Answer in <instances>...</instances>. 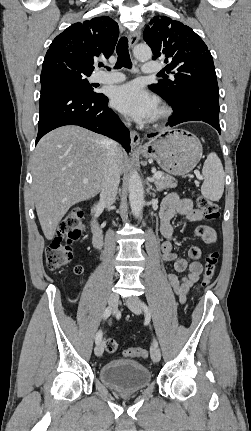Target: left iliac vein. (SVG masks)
I'll return each instance as SVG.
<instances>
[{
  "instance_id": "left-iliac-vein-1",
  "label": "left iliac vein",
  "mask_w": 251,
  "mask_h": 431,
  "mask_svg": "<svg viewBox=\"0 0 251 431\" xmlns=\"http://www.w3.org/2000/svg\"><path fill=\"white\" fill-rule=\"evenodd\" d=\"M126 305L127 307L135 314L139 315L142 313V305H141V301L138 297H131L128 298L126 301ZM150 354H151V358L152 360L157 363L160 361L161 359V352L160 349L158 347L157 342L154 340L152 342L151 348H150Z\"/></svg>"
}]
</instances>
